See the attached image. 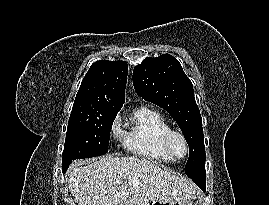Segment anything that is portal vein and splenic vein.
Returning <instances> with one entry per match:
<instances>
[{
  "instance_id": "18ae733b",
  "label": "portal vein and splenic vein",
  "mask_w": 269,
  "mask_h": 205,
  "mask_svg": "<svg viewBox=\"0 0 269 205\" xmlns=\"http://www.w3.org/2000/svg\"><path fill=\"white\" fill-rule=\"evenodd\" d=\"M116 184H121V181L117 180V181H116Z\"/></svg>"
}]
</instances>
